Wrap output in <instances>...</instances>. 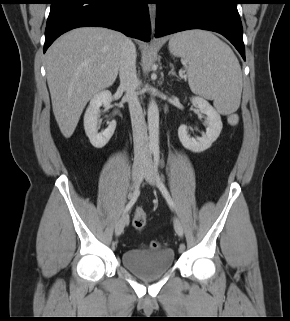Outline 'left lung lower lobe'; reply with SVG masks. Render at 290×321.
I'll list each match as a JSON object with an SVG mask.
<instances>
[{
    "instance_id": "left-lung-lower-lobe-1",
    "label": "left lung lower lobe",
    "mask_w": 290,
    "mask_h": 321,
    "mask_svg": "<svg viewBox=\"0 0 290 321\" xmlns=\"http://www.w3.org/2000/svg\"><path fill=\"white\" fill-rule=\"evenodd\" d=\"M240 0H157L156 37L189 29L222 34L245 60Z\"/></svg>"
}]
</instances>
